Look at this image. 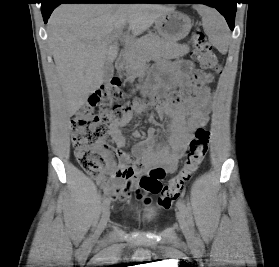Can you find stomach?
<instances>
[{
	"instance_id": "1",
	"label": "stomach",
	"mask_w": 279,
	"mask_h": 267,
	"mask_svg": "<svg viewBox=\"0 0 279 267\" xmlns=\"http://www.w3.org/2000/svg\"><path fill=\"white\" fill-rule=\"evenodd\" d=\"M159 35L169 42H176L185 38L191 29L190 18L178 11L164 13L155 21Z\"/></svg>"
}]
</instances>
